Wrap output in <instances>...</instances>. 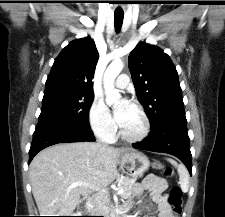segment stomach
Returning <instances> with one entry per match:
<instances>
[{"label":"stomach","mask_w":225,"mask_h":217,"mask_svg":"<svg viewBox=\"0 0 225 217\" xmlns=\"http://www.w3.org/2000/svg\"><path fill=\"white\" fill-rule=\"evenodd\" d=\"M119 163L122 171L133 178L142 175L150 165L147 156L135 151L122 154Z\"/></svg>","instance_id":"1"}]
</instances>
